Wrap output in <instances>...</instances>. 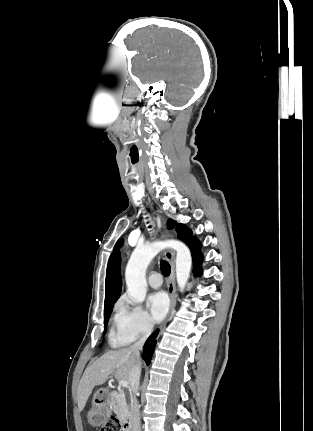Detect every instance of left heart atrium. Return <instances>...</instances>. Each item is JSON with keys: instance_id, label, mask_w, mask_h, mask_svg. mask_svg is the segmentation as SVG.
<instances>
[{"instance_id": "left-heart-atrium-1", "label": "left heart atrium", "mask_w": 313, "mask_h": 431, "mask_svg": "<svg viewBox=\"0 0 313 431\" xmlns=\"http://www.w3.org/2000/svg\"><path fill=\"white\" fill-rule=\"evenodd\" d=\"M147 306L152 321L158 323L166 316L169 308V301L164 292H156L149 296Z\"/></svg>"}]
</instances>
